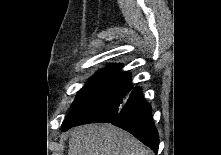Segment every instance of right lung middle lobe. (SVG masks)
<instances>
[{
    "instance_id": "obj_1",
    "label": "right lung middle lobe",
    "mask_w": 221,
    "mask_h": 155,
    "mask_svg": "<svg viewBox=\"0 0 221 155\" xmlns=\"http://www.w3.org/2000/svg\"><path fill=\"white\" fill-rule=\"evenodd\" d=\"M116 67L115 64H111L98 71L90 82L77 93L72 105V112L62 124L63 131L80 124L86 118L103 93L107 81Z\"/></svg>"
}]
</instances>
